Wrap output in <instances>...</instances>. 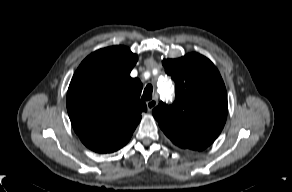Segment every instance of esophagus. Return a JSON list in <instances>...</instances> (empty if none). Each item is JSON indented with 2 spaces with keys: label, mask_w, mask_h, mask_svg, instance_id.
Wrapping results in <instances>:
<instances>
[{
  "label": "esophagus",
  "mask_w": 292,
  "mask_h": 192,
  "mask_svg": "<svg viewBox=\"0 0 292 192\" xmlns=\"http://www.w3.org/2000/svg\"><path fill=\"white\" fill-rule=\"evenodd\" d=\"M146 105L148 111H152L157 105V100L156 99L149 100L147 101Z\"/></svg>",
  "instance_id": "esophagus-1"
}]
</instances>
